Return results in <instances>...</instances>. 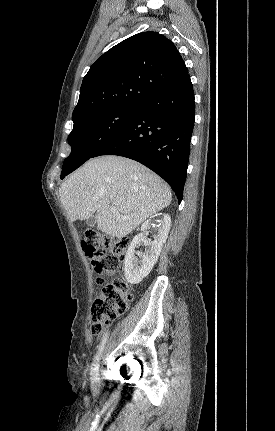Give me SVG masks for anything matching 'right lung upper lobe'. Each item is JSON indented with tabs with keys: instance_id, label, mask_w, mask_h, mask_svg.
Listing matches in <instances>:
<instances>
[{
	"instance_id": "right-lung-upper-lobe-1",
	"label": "right lung upper lobe",
	"mask_w": 275,
	"mask_h": 431,
	"mask_svg": "<svg viewBox=\"0 0 275 431\" xmlns=\"http://www.w3.org/2000/svg\"><path fill=\"white\" fill-rule=\"evenodd\" d=\"M188 74L175 45L157 32L136 34L104 53L83 78L73 121L102 109L139 107Z\"/></svg>"
}]
</instances>
